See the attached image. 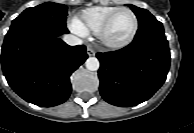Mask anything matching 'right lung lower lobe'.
Wrapping results in <instances>:
<instances>
[{"label": "right lung lower lobe", "instance_id": "obj_1", "mask_svg": "<svg viewBox=\"0 0 194 133\" xmlns=\"http://www.w3.org/2000/svg\"><path fill=\"white\" fill-rule=\"evenodd\" d=\"M66 24L30 21L11 27L2 46V69L11 88L42 107L65 102L70 75L87 59L84 45L69 46L59 36Z\"/></svg>", "mask_w": 194, "mask_h": 133}]
</instances>
